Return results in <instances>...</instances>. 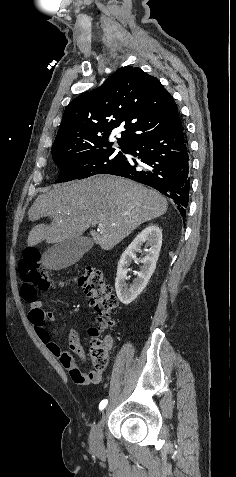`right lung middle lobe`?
I'll return each instance as SVG.
<instances>
[{
	"label": "right lung middle lobe",
	"mask_w": 236,
	"mask_h": 477,
	"mask_svg": "<svg viewBox=\"0 0 236 477\" xmlns=\"http://www.w3.org/2000/svg\"><path fill=\"white\" fill-rule=\"evenodd\" d=\"M114 151V149L87 148L75 153L54 155L55 163L61 168L60 176L56 182L107 174L126 161L121 152L113 155Z\"/></svg>",
	"instance_id": "dd1d6c3e"
}]
</instances>
